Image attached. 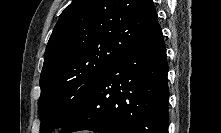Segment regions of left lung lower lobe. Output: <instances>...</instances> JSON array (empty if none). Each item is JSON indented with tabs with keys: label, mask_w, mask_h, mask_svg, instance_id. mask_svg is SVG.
<instances>
[{
	"label": "left lung lower lobe",
	"mask_w": 221,
	"mask_h": 133,
	"mask_svg": "<svg viewBox=\"0 0 221 133\" xmlns=\"http://www.w3.org/2000/svg\"><path fill=\"white\" fill-rule=\"evenodd\" d=\"M167 73L166 48L156 23L106 69L60 133H167Z\"/></svg>",
	"instance_id": "left-lung-lower-lobe-1"
}]
</instances>
